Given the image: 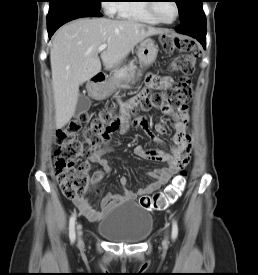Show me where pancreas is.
Wrapping results in <instances>:
<instances>
[{"label":"pancreas","mask_w":258,"mask_h":275,"mask_svg":"<svg viewBox=\"0 0 258 275\" xmlns=\"http://www.w3.org/2000/svg\"><path fill=\"white\" fill-rule=\"evenodd\" d=\"M135 70L134 60L122 68L114 70L113 76L109 80L111 90L113 91L123 81H130L134 76Z\"/></svg>","instance_id":"pancreas-1"}]
</instances>
